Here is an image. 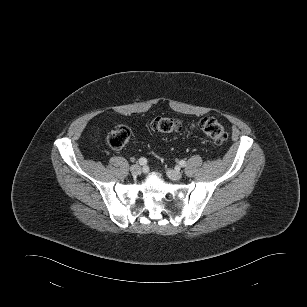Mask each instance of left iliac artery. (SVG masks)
Listing matches in <instances>:
<instances>
[{
	"instance_id": "44dca946",
	"label": "left iliac artery",
	"mask_w": 307,
	"mask_h": 307,
	"mask_svg": "<svg viewBox=\"0 0 307 307\" xmlns=\"http://www.w3.org/2000/svg\"><path fill=\"white\" fill-rule=\"evenodd\" d=\"M179 165H180L181 167H184V166H186V162H185L184 160H181V161L179 162Z\"/></svg>"
}]
</instances>
